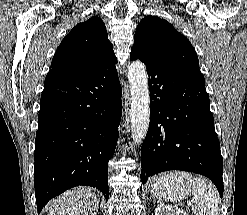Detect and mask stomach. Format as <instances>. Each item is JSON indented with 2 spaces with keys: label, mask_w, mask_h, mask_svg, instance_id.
Returning a JSON list of instances; mask_svg holds the SVG:
<instances>
[{
  "label": "stomach",
  "mask_w": 247,
  "mask_h": 215,
  "mask_svg": "<svg viewBox=\"0 0 247 215\" xmlns=\"http://www.w3.org/2000/svg\"><path fill=\"white\" fill-rule=\"evenodd\" d=\"M191 186L192 182L189 174L170 172L154 181L151 192L159 200L177 202L189 195Z\"/></svg>",
  "instance_id": "stomach-1"
}]
</instances>
